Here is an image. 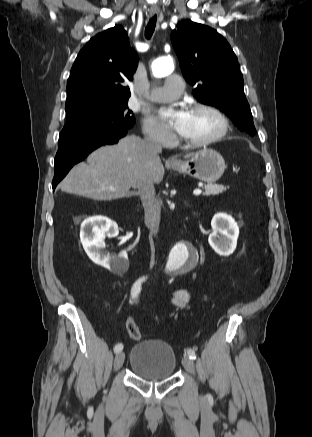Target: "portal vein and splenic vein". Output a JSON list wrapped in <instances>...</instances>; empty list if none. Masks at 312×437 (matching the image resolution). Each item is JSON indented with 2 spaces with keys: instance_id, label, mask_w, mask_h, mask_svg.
Wrapping results in <instances>:
<instances>
[{
  "instance_id": "portal-vein-and-splenic-vein-1",
  "label": "portal vein and splenic vein",
  "mask_w": 312,
  "mask_h": 437,
  "mask_svg": "<svg viewBox=\"0 0 312 437\" xmlns=\"http://www.w3.org/2000/svg\"><path fill=\"white\" fill-rule=\"evenodd\" d=\"M201 193H202V191L200 189H196L193 191V194L196 196L200 195Z\"/></svg>"
}]
</instances>
